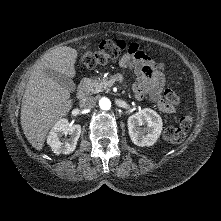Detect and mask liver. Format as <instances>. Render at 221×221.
Returning a JSON list of instances; mask_svg holds the SVG:
<instances>
[{
    "label": "liver",
    "instance_id": "1",
    "mask_svg": "<svg viewBox=\"0 0 221 221\" xmlns=\"http://www.w3.org/2000/svg\"><path fill=\"white\" fill-rule=\"evenodd\" d=\"M76 59L77 51L63 46L45 53L34 64L23 95L20 119L25 137L37 150H42L48 132L73 106L70 91L48 78L45 71L74 77Z\"/></svg>",
    "mask_w": 221,
    "mask_h": 221
}]
</instances>
